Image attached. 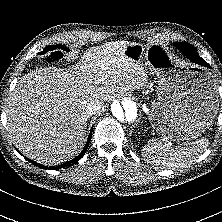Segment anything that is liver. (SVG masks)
Instances as JSON below:
<instances>
[{
    "label": "liver",
    "mask_w": 222,
    "mask_h": 222,
    "mask_svg": "<svg viewBox=\"0 0 222 222\" xmlns=\"http://www.w3.org/2000/svg\"><path fill=\"white\" fill-rule=\"evenodd\" d=\"M127 43L92 47L69 68L45 67L24 75L8 100L7 129L14 145L44 165L79 154L86 142V105L102 106L148 83L142 64L123 55Z\"/></svg>",
    "instance_id": "liver-1"
}]
</instances>
